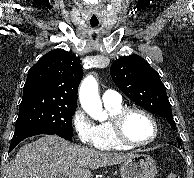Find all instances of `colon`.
<instances>
[{
    "mask_svg": "<svg viewBox=\"0 0 194 178\" xmlns=\"http://www.w3.org/2000/svg\"><path fill=\"white\" fill-rule=\"evenodd\" d=\"M167 178H179V176L176 173L171 172L168 174Z\"/></svg>",
    "mask_w": 194,
    "mask_h": 178,
    "instance_id": "1",
    "label": "colon"
}]
</instances>
